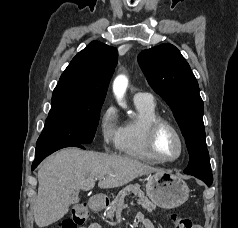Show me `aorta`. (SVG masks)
Masks as SVG:
<instances>
[{"instance_id":"1","label":"aorta","mask_w":238,"mask_h":228,"mask_svg":"<svg viewBox=\"0 0 238 228\" xmlns=\"http://www.w3.org/2000/svg\"><path fill=\"white\" fill-rule=\"evenodd\" d=\"M127 86H128V79L126 76L119 75L115 78L113 83V91L119 101L122 100Z\"/></svg>"}]
</instances>
